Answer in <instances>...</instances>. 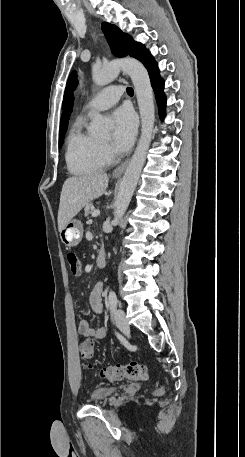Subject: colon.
<instances>
[{
  "label": "colon",
  "mask_w": 245,
  "mask_h": 457,
  "mask_svg": "<svg viewBox=\"0 0 245 457\" xmlns=\"http://www.w3.org/2000/svg\"><path fill=\"white\" fill-rule=\"evenodd\" d=\"M67 263L72 275L79 276L82 266L79 257L74 252H68L66 255ZM79 353L82 359L90 360L94 354V342L91 339L83 341L79 346ZM100 376L109 381H118L122 379L144 380L147 377V368L138 362L127 364H118L109 366L100 371Z\"/></svg>",
  "instance_id": "1"
}]
</instances>
